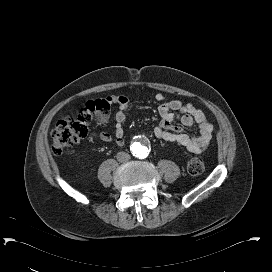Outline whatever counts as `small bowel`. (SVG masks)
I'll return each mask as SVG.
<instances>
[{
  "mask_svg": "<svg viewBox=\"0 0 272 272\" xmlns=\"http://www.w3.org/2000/svg\"><path fill=\"white\" fill-rule=\"evenodd\" d=\"M155 98L160 102L158 111L162 122L153 128V135L159 140L182 145L191 153L199 154L203 152L208 146L214 130L212 123L207 120L204 112L193 104H182L179 100L168 102L164 93H157ZM107 99L111 104L118 106L115 114L114 138L109 133L102 132L99 134V139L106 143L122 146L125 143L123 123L129 101L123 95H111ZM177 122L188 127L197 124L200 136L193 137L183 133L180 128L175 126Z\"/></svg>",
  "mask_w": 272,
  "mask_h": 272,
  "instance_id": "c3829d8e",
  "label": "small bowel"
}]
</instances>
